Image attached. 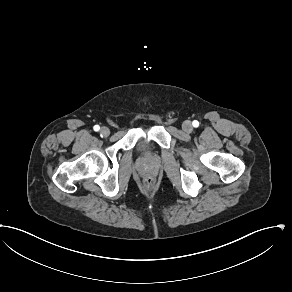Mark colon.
Wrapping results in <instances>:
<instances>
[{"mask_svg": "<svg viewBox=\"0 0 292 292\" xmlns=\"http://www.w3.org/2000/svg\"><path fill=\"white\" fill-rule=\"evenodd\" d=\"M152 183H153V180H151V179H149V180L147 181V185H148V186H151Z\"/></svg>", "mask_w": 292, "mask_h": 292, "instance_id": "5ec220e1", "label": "colon"}]
</instances>
